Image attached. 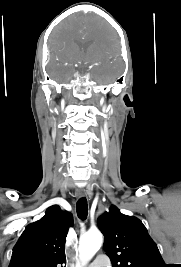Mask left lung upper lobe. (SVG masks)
<instances>
[{"label":"left lung upper lobe","mask_w":181,"mask_h":267,"mask_svg":"<svg viewBox=\"0 0 181 267\" xmlns=\"http://www.w3.org/2000/svg\"><path fill=\"white\" fill-rule=\"evenodd\" d=\"M113 267H166L142 222L112 206L97 220Z\"/></svg>","instance_id":"1"}]
</instances>
